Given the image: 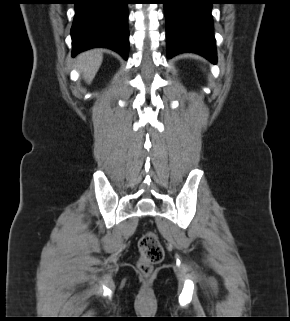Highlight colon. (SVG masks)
Wrapping results in <instances>:
<instances>
[{
    "instance_id": "5ec220e1",
    "label": "colon",
    "mask_w": 290,
    "mask_h": 321,
    "mask_svg": "<svg viewBox=\"0 0 290 321\" xmlns=\"http://www.w3.org/2000/svg\"><path fill=\"white\" fill-rule=\"evenodd\" d=\"M140 259L138 269L143 275H149L154 265L164 259V249L158 238L153 232L144 234L139 240Z\"/></svg>"
}]
</instances>
